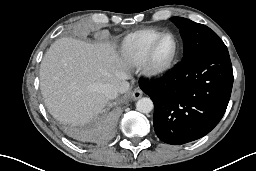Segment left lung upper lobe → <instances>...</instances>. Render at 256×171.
<instances>
[{"label": "left lung upper lobe", "instance_id": "5c2ea615", "mask_svg": "<svg viewBox=\"0 0 256 171\" xmlns=\"http://www.w3.org/2000/svg\"><path fill=\"white\" fill-rule=\"evenodd\" d=\"M183 39V59L197 52L208 49L226 48L217 34L203 24L182 17H172Z\"/></svg>", "mask_w": 256, "mask_h": 171}]
</instances>
